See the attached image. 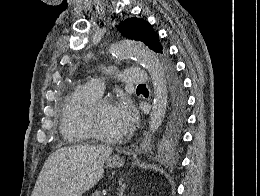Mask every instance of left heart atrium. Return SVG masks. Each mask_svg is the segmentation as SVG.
<instances>
[{
  "instance_id": "left-heart-atrium-1",
  "label": "left heart atrium",
  "mask_w": 260,
  "mask_h": 196,
  "mask_svg": "<svg viewBox=\"0 0 260 196\" xmlns=\"http://www.w3.org/2000/svg\"><path fill=\"white\" fill-rule=\"evenodd\" d=\"M115 112L122 130H127L136 119L134 107L126 100L115 105Z\"/></svg>"
}]
</instances>
